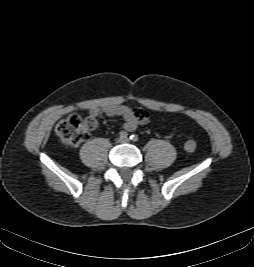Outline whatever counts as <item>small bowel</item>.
<instances>
[{"label": "small bowel", "mask_w": 254, "mask_h": 267, "mask_svg": "<svg viewBox=\"0 0 254 267\" xmlns=\"http://www.w3.org/2000/svg\"><path fill=\"white\" fill-rule=\"evenodd\" d=\"M89 116L94 119L109 117H122L124 128L127 131L135 130L139 125L148 123L149 114L141 109H134L126 105H108L104 107H92Z\"/></svg>", "instance_id": "small-bowel-1"}]
</instances>
